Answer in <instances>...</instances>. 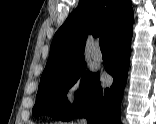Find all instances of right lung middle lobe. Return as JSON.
Here are the masks:
<instances>
[{"mask_svg": "<svg viewBox=\"0 0 156 124\" xmlns=\"http://www.w3.org/2000/svg\"><path fill=\"white\" fill-rule=\"evenodd\" d=\"M86 63L63 71L61 73L42 78L40 80L36 103L32 113L35 117L50 115L61 120L83 99L96 74L85 72ZM82 76V88L77 92L74 105L70 104L66 94L76 81Z\"/></svg>", "mask_w": 156, "mask_h": 124, "instance_id": "dd1d6c3e", "label": "right lung middle lobe"}]
</instances>
